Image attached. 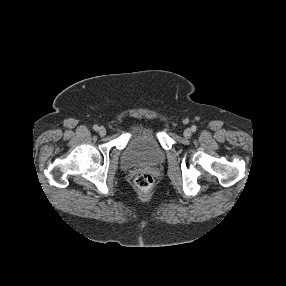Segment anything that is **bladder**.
I'll list each match as a JSON object with an SVG mask.
<instances>
[{"mask_svg": "<svg viewBox=\"0 0 286 286\" xmlns=\"http://www.w3.org/2000/svg\"><path fill=\"white\" fill-rule=\"evenodd\" d=\"M164 158V151L156 140L153 128L146 123L136 124L123 155V164L128 167L154 166L162 163Z\"/></svg>", "mask_w": 286, "mask_h": 286, "instance_id": "31cf9c89", "label": "bladder"}]
</instances>
